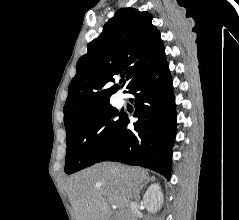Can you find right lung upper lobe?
I'll return each instance as SVG.
<instances>
[{"instance_id": "1", "label": "right lung upper lobe", "mask_w": 239, "mask_h": 220, "mask_svg": "<svg viewBox=\"0 0 239 220\" xmlns=\"http://www.w3.org/2000/svg\"><path fill=\"white\" fill-rule=\"evenodd\" d=\"M152 15L134 8L119 9L100 36L87 46L76 65L63 109L66 130L85 114L110 105L120 88L108 87L114 76L126 75V91L142 76L166 60L160 32Z\"/></svg>"}]
</instances>
